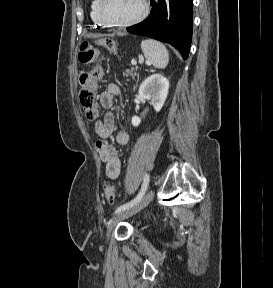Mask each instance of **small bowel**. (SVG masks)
I'll list each match as a JSON object with an SVG mask.
<instances>
[{
    "mask_svg": "<svg viewBox=\"0 0 273 288\" xmlns=\"http://www.w3.org/2000/svg\"><path fill=\"white\" fill-rule=\"evenodd\" d=\"M121 94L119 85L111 83L107 89L101 93L99 97L100 105L109 110L113 106L114 97ZM115 129V119L111 112H107L102 119L94 123V130L98 136L96 148L98 153L105 163L106 175L110 179H117L120 176L121 162L116 149L109 143L108 138L112 135ZM116 142L120 145H125L129 141V135L124 129L117 131L115 136Z\"/></svg>",
    "mask_w": 273,
    "mask_h": 288,
    "instance_id": "c3829d8e",
    "label": "small bowel"
}]
</instances>
